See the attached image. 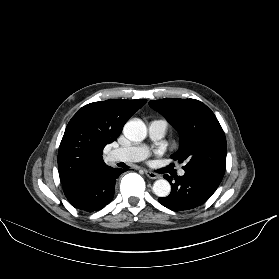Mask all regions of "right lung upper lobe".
Returning <instances> with one entry per match:
<instances>
[{
	"mask_svg": "<svg viewBox=\"0 0 279 279\" xmlns=\"http://www.w3.org/2000/svg\"><path fill=\"white\" fill-rule=\"evenodd\" d=\"M146 99H110L83 106L68 123L58 151L63 187L86 180L111 167L103 161L104 147L115 141L124 124Z\"/></svg>",
	"mask_w": 279,
	"mask_h": 279,
	"instance_id": "1",
	"label": "right lung upper lobe"
}]
</instances>
